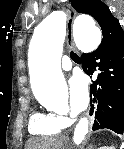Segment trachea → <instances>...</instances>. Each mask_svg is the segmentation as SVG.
<instances>
[{
	"label": "trachea",
	"mask_w": 124,
	"mask_h": 149,
	"mask_svg": "<svg viewBox=\"0 0 124 149\" xmlns=\"http://www.w3.org/2000/svg\"><path fill=\"white\" fill-rule=\"evenodd\" d=\"M70 56H71L73 61H78L79 60V57L73 52H71Z\"/></svg>",
	"instance_id": "3493384b"
}]
</instances>
